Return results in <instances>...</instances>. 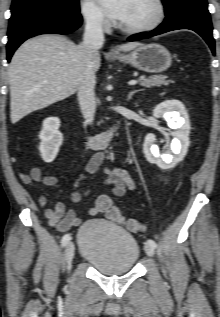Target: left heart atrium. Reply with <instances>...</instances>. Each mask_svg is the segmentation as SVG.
<instances>
[{
	"label": "left heart atrium",
	"mask_w": 220,
	"mask_h": 317,
	"mask_svg": "<svg viewBox=\"0 0 220 317\" xmlns=\"http://www.w3.org/2000/svg\"><path fill=\"white\" fill-rule=\"evenodd\" d=\"M104 12L112 19L122 22L131 0H98Z\"/></svg>",
	"instance_id": "1"
}]
</instances>
